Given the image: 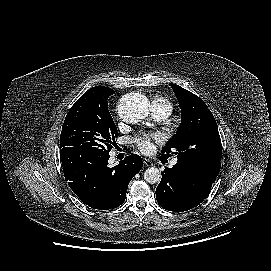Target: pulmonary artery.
Wrapping results in <instances>:
<instances>
[{
	"instance_id": "pulmonary-artery-1",
	"label": "pulmonary artery",
	"mask_w": 271,
	"mask_h": 271,
	"mask_svg": "<svg viewBox=\"0 0 271 271\" xmlns=\"http://www.w3.org/2000/svg\"><path fill=\"white\" fill-rule=\"evenodd\" d=\"M152 112L155 119L162 121L165 120L171 113V107L169 105L155 101L152 104ZM177 160L171 162V166L176 165Z\"/></svg>"
}]
</instances>
